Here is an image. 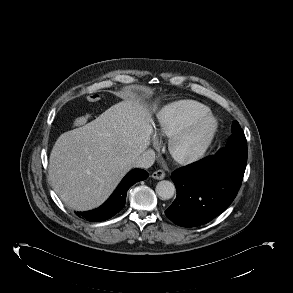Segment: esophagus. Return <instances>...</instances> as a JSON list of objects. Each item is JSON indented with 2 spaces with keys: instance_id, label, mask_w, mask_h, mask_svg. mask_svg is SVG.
<instances>
[{
  "instance_id": "esophagus-1",
  "label": "esophagus",
  "mask_w": 293,
  "mask_h": 293,
  "mask_svg": "<svg viewBox=\"0 0 293 293\" xmlns=\"http://www.w3.org/2000/svg\"><path fill=\"white\" fill-rule=\"evenodd\" d=\"M165 172L163 170H157L152 173L151 177L157 180H162L165 178Z\"/></svg>"
}]
</instances>
